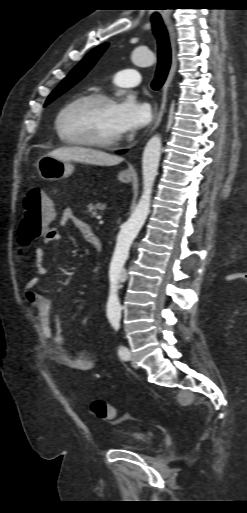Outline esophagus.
Returning <instances> with one entry per match:
<instances>
[{"label":"esophagus","mask_w":247,"mask_h":513,"mask_svg":"<svg viewBox=\"0 0 247 513\" xmlns=\"http://www.w3.org/2000/svg\"><path fill=\"white\" fill-rule=\"evenodd\" d=\"M165 25L169 33L170 37V43H171V49H172V63L171 67L167 76L166 81L164 82L162 89H161V98H160V104L158 106V103H155L153 106V121L151 124V130L150 133H152L160 124L162 120V116L166 109V103H167V93H168V87L174 77V74L177 69V44H176V30L171 20H165ZM130 173H133V169H129Z\"/></svg>","instance_id":"1"}]
</instances>
